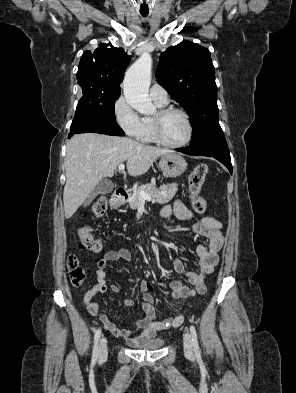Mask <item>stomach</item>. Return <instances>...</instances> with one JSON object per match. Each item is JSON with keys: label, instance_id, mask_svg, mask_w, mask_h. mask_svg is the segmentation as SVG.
I'll use <instances>...</instances> for the list:
<instances>
[{"label": "stomach", "instance_id": "obj_1", "mask_svg": "<svg viewBox=\"0 0 296 393\" xmlns=\"http://www.w3.org/2000/svg\"><path fill=\"white\" fill-rule=\"evenodd\" d=\"M159 167L167 177H178L184 173L187 168L185 159L176 153L162 155L159 161Z\"/></svg>", "mask_w": 296, "mask_h": 393}]
</instances>
